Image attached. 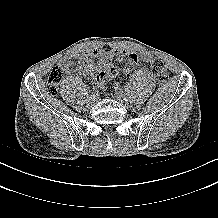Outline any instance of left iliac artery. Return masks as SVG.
I'll use <instances>...</instances> for the list:
<instances>
[{"mask_svg": "<svg viewBox=\"0 0 218 218\" xmlns=\"http://www.w3.org/2000/svg\"><path fill=\"white\" fill-rule=\"evenodd\" d=\"M118 88L120 93H124L126 91L121 85Z\"/></svg>", "mask_w": 218, "mask_h": 218, "instance_id": "left-iliac-artery-1", "label": "left iliac artery"}]
</instances>
